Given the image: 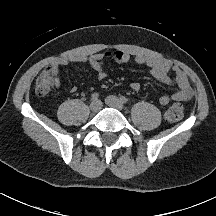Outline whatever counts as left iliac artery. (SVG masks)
Instances as JSON below:
<instances>
[{
    "instance_id": "1",
    "label": "left iliac artery",
    "mask_w": 216,
    "mask_h": 216,
    "mask_svg": "<svg viewBox=\"0 0 216 216\" xmlns=\"http://www.w3.org/2000/svg\"><path fill=\"white\" fill-rule=\"evenodd\" d=\"M120 100L122 103L126 104L128 102V99L125 96H121Z\"/></svg>"
}]
</instances>
